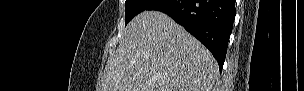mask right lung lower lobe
I'll list each match as a JSON object with an SVG mask.
<instances>
[{
	"label": "right lung lower lobe",
	"mask_w": 304,
	"mask_h": 91,
	"mask_svg": "<svg viewBox=\"0 0 304 91\" xmlns=\"http://www.w3.org/2000/svg\"><path fill=\"white\" fill-rule=\"evenodd\" d=\"M145 10L161 11L204 44L223 68L235 18V0H153Z\"/></svg>",
	"instance_id": "right-lung-lower-lobe-1"
}]
</instances>
